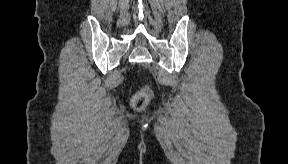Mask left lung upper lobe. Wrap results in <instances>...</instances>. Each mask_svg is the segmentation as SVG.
I'll return each instance as SVG.
<instances>
[{"instance_id": "obj_1", "label": "left lung upper lobe", "mask_w": 288, "mask_h": 164, "mask_svg": "<svg viewBox=\"0 0 288 164\" xmlns=\"http://www.w3.org/2000/svg\"><path fill=\"white\" fill-rule=\"evenodd\" d=\"M254 86H255V87H259V84H258V83H256Z\"/></svg>"}]
</instances>
